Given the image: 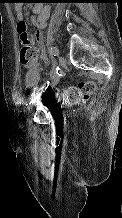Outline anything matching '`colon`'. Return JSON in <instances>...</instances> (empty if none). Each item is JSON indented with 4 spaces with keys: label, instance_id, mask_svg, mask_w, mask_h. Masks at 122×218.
Returning <instances> with one entry per match:
<instances>
[{
    "label": "colon",
    "instance_id": "5ec220e1",
    "mask_svg": "<svg viewBox=\"0 0 122 218\" xmlns=\"http://www.w3.org/2000/svg\"><path fill=\"white\" fill-rule=\"evenodd\" d=\"M17 33L20 41V61L23 65H32L36 62L37 51L31 44V36L25 21L20 20L17 23ZM96 85L92 81L79 83L77 86L69 87L61 92L64 102L73 104L87 101L92 97Z\"/></svg>",
    "mask_w": 122,
    "mask_h": 218
}]
</instances>
